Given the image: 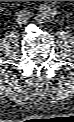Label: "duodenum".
<instances>
[{"mask_svg":"<svg viewBox=\"0 0 74 122\" xmlns=\"http://www.w3.org/2000/svg\"><path fill=\"white\" fill-rule=\"evenodd\" d=\"M39 17H40V18H43V17H44V15H40Z\"/></svg>","mask_w":74,"mask_h":122,"instance_id":"1","label":"duodenum"}]
</instances>
